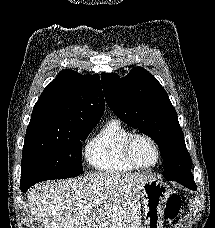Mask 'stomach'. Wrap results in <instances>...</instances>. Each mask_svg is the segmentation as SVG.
Segmentation results:
<instances>
[{
	"instance_id": "stomach-1",
	"label": "stomach",
	"mask_w": 215,
	"mask_h": 228,
	"mask_svg": "<svg viewBox=\"0 0 215 228\" xmlns=\"http://www.w3.org/2000/svg\"><path fill=\"white\" fill-rule=\"evenodd\" d=\"M171 194L169 186L156 178L142 184L138 192L143 216L142 228H163L166 204Z\"/></svg>"
}]
</instances>
